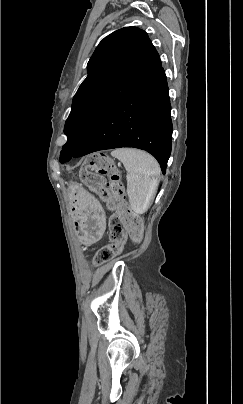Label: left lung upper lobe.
<instances>
[{"mask_svg": "<svg viewBox=\"0 0 243 404\" xmlns=\"http://www.w3.org/2000/svg\"><path fill=\"white\" fill-rule=\"evenodd\" d=\"M161 68L160 57L145 31L125 27L104 38L90 58L88 76L73 98L64 127L68 139L60 162L76 153L110 107Z\"/></svg>", "mask_w": 243, "mask_h": 404, "instance_id": "obj_1", "label": "left lung upper lobe"}]
</instances>
